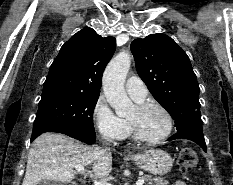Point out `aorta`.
Segmentation results:
<instances>
[{
    "instance_id": "aorta-1",
    "label": "aorta",
    "mask_w": 233,
    "mask_h": 185,
    "mask_svg": "<svg viewBox=\"0 0 233 185\" xmlns=\"http://www.w3.org/2000/svg\"><path fill=\"white\" fill-rule=\"evenodd\" d=\"M130 65V55L127 52H121L110 61L103 75L105 97L118 117H126L134 109L133 102L124 89Z\"/></svg>"
}]
</instances>
